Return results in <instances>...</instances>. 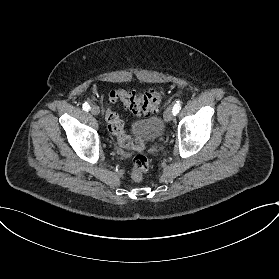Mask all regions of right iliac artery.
Listing matches in <instances>:
<instances>
[{
  "instance_id": "right-iliac-artery-1",
  "label": "right iliac artery",
  "mask_w": 279,
  "mask_h": 279,
  "mask_svg": "<svg viewBox=\"0 0 279 279\" xmlns=\"http://www.w3.org/2000/svg\"><path fill=\"white\" fill-rule=\"evenodd\" d=\"M82 108L87 112L90 110V106L88 105V103H84Z\"/></svg>"
}]
</instances>
